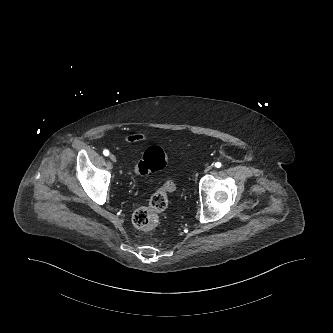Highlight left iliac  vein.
Returning <instances> with one entry per match:
<instances>
[{
	"instance_id": "4c4485c4",
	"label": "left iliac vein",
	"mask_w": 333,
	"mask_h": 333,
	"mask_svg": "<svg viewBox=\"0 0 333 333\" xmlns=\"http://www.w3.org/2000/svg\"><path fill=\"white\" fill-rule=\"evenodd\" d=\"M212 169V166L211 165H208L206 168H205V172H209L210 170Z\"/></svg>"
}]
</instances>
